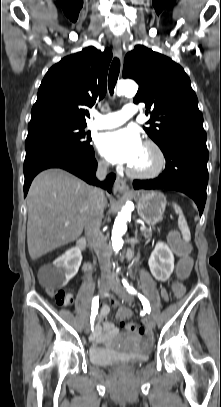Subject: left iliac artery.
Returning a JSON list of instances; mask_svg holds the SVG:
<instances>
[{"mask_svg": "<svg viewBox=\"0 0 221 407\" xmlns=\"http://www.w3.org/2000/svg\"><path fill=\"white\" fill-rule=\"evenodd\" d=\"M123 285H124L125 289L128 291V293H130L131 295H137L138 296V298L142 302L144 310L147 313H150L151 308H150L149 301L142 294L138 293L137 290L133 286L129 285L125 280H123Z\"/></svg>", "mask_w": 221, "mask_h": 407, "instance_id": "44dca946", "label": "left iliac artery"}]
</instances>
